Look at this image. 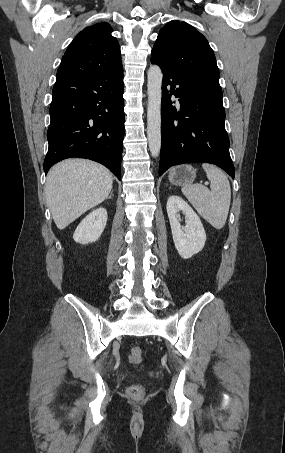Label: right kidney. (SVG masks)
Segmentation results:
<instances>
[{
	"instance_id": "right-kidney-1",
	"label": "right kidney",
	"mask_w": 285,
	"mask_h": 453,
	"mask_svg": "<svg viewBox=\"0 0 285 453\" xmlns=\"http://www.w3.org/2000/svg\"><path fill=\"white\" fill-rule=\"evenodd\" d=\"M107 218V211L103 207L89 213L77 226L74 241L80 244L97 241L106 227Z\"/></svg>"
}]
</instances>
